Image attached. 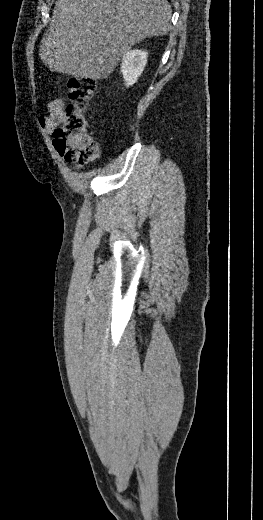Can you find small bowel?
Instances as JSON below:
<instances>
[{
    "label": "small bowel",
    "instance_id": "1",
    "mask_svg": "<svg viewBox=\"0 0 263 520\" xmlns=\"http://www.w3.org/2000/svg\"><path fill=\"white\" fill-rule=\"evenodd\" d=\"M64 119V102L58 98L53 100L49 104V113L39 117V124L42 129L47 133L51 134L55 128L62 123ZM82 164L77 163L74 168L78 169Z\"/></svg>",
    "mask_w": 263,
    "mask_h": 520
}]
</instances>
